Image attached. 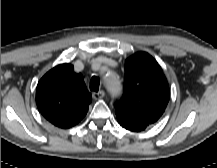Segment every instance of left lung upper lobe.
I'll return each instance as SVG.
<instances>
[{
	"mask_svg": "<svg viewBox=\"0 0 217 168\" xmlns=\"http://www.w3.org/2000/svg\"><path fill=\"white\" fill-rule=\"evenodd\" d=\"M170 98L167 79L157 61L138 52L125 61L124 92L115 104L117 121L143 131L163 115Z\"/></svg>",
	"mask_w": 217,
	"mask_h": 168,
	"instance_id": "obj_1",
	"label": "left lung upper lobe"
}]
</instances>
